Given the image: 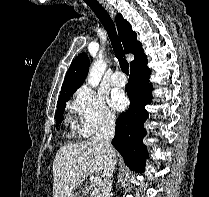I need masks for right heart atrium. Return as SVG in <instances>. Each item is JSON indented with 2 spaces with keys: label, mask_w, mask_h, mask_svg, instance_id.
I'll list each match as a JSON object with an SVG mask.
<instances>
[{
  "label": "right heart atrium",
  "mask_w": 209,
  "mask_h": 197,
  "mask_svg": "<svg viewBox=\"0 0 209 197\" xmlns=\"http://www.w3.org/2000/svg\"><path fill=\"white\" fill-rule=\"evenodd\" d=\"M70 108L78 117V132L84 137L111 127L115 122V115L107 103V98L89 87L80 88Z\"/></svg>",
  "instance_id": "right-heart-atrium-1"
}]
</instances>
